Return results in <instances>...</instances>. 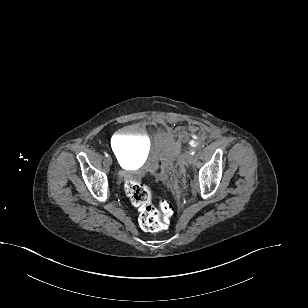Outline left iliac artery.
Here are the masks:
<instances>
[{"label":"left iliac artery","mask_w":308,"mask_h":308,"mask_svg":"<svg viewBox=\"0 0 308 308\" xmlns=\"http://www.w3.org/2000/svg\"><path fill=\"white\" fill-rule=\"evenodd\" d=\"M195 153V149L191 150V154L193 155Z\"/></svg>","instance_id":"1"}]
</instances>
